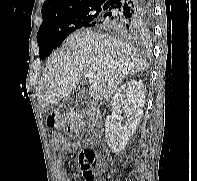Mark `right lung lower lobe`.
<instances>
[{
  "label": "right lung lower lobe",
  "mask_w": 197,
  "mask_h": 181,
  "mask_svg": "<svg viewBox=\"0 0 197 181\" xmlns=\"http://www.w3.org/2000/svg\"><path fill=\"white\" fill-rule=\"evenodd\" d=\"M102 16L91 26L122 32L126 35L141 34L153 17L152 0H108Z\"/></svg>",
  "instance_id": "right-lung-lower-lobe-1"
}]
</instances>
